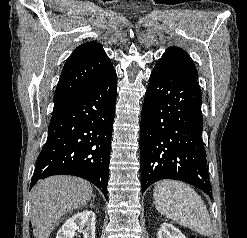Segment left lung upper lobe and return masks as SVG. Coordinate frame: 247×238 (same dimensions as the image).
I'll use <instances>...</instances> for the list:
<instances>
[{
	"instance_id": "obj_1",
	"label": "left lung upper lobe",
	"mask_w": 247,
	"mask_h": 238,
	"mask_svg": "<svg viewBox=\"0 0 247 238\" xmlns=\"http://www.w3.org/2000/svg\"><path fill=\"white\" fill-rule=\"evenodd\" d=\"M160 60H165L177 68L192 74L197 78L198 73L191 57L181 48L170 47L166 50Z\"/></svg>"
}]
</instances>
